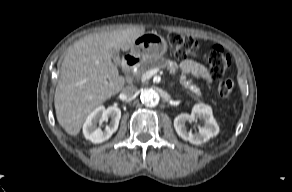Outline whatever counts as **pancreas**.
<instances>
[{"instance_id": "pancreas-1", "label": "pancreas", "mask_w": 292, "mask_h": 192, "mask_svg": "<svg viewBox=\"0 0 292 192\" xmlns=\"http://www.w3.org/2000/svg\"><path fill=\"white\" fill-rule=\"evenodd\" d=\"M154 68H166L171 75H175L178 70L176 62L160 57L155 60L143 62L139 66L135 75L137 78H140L146 71ZM180 84L186 89H189L193 94H195L196 98L201 95L200 89L196 85L192 84L190 80H187L185 75H181Z\"/></svg>"}]
</instances>
